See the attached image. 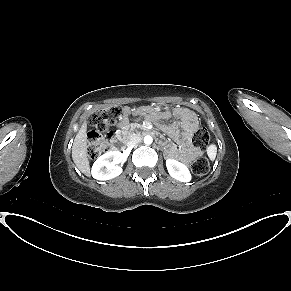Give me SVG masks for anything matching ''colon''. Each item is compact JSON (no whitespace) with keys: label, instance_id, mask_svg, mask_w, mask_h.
I'll use <instances>...</instances> for the list:
<instances>
[{"label":"colon","instance_id":"1","mask_svg":"<svg viewBox=\"0 0 291 291\" xmlns=\"http://www.w3.org/2000/svg\"><path fill=\"white\" fill-rule=\"evenodd\" d=\"M123 109L120 106H110L97 111L91 117L92 129L88 133V153L92 158L101 156L111 150L112 133L110 128L122 118ZM108 132L107 134H105ZM210 135L205 127L198 128L192 137V145L204 149L209 143ZM192 170L197 175H204L209 170V162L205 156H198Z\"/></svg>","mask_w":291,"mask_h":291}]
</instances>
